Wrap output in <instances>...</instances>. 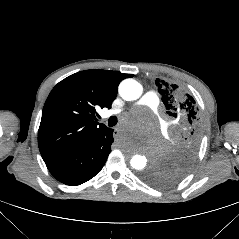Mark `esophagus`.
I'll return each mask as SVG.
<instances>
[{
	"instance_id": "obj_1",
	"label": "esophagus",
	"mask_w": 239,
	"mask_h": 239,
	"mask_svg": "<svg viewBox=\"0 0 239 239\" xmlns=\"http://www.w3.org/2000/svg\"><path fill=\"white\" fill-rule=\"evenodd\" d=\"M112 138H113L114 140H120V139L122 138V133H121V131H120L119 129H114V130L112 131Z\"/></svg>"
}]
</instances>
